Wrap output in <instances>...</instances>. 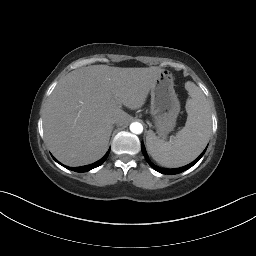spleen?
I'll return each mask as SVG.
<instances>
[{
  "label": "spleen",
  "instance_id": "obj_1",
  "mask_svg": "<svg viewBox=\"0 0 256 256\" xmlns=\"http://www.w3.org/2000/svg\"><path fill=\"white\" fill-rule=\"evenodd\" d=\"M190 98L186 102L188 113L185 127L168 142L152 132L146 137L148 151L160 165L168 168L184 166L202 152L211 135V113L208 101L193 82L185 84Z\"/></svg>",
  "mask_w": 256,
  "mask_h": 256
}]
</instances>
